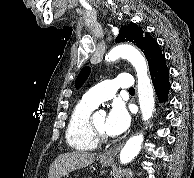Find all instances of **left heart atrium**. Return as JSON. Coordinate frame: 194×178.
I'll use <instances>...</instances> for the list:
<instances>
[{
  "mask_svg": "<svg viewBox=\"0 0 194 178\" xmlns=\"http://www.w3.org/2000/svg\"><path fill=\"white\" fill-rule=\"evenodd\" d=\"M130 121L126 108L120 103H115L106 117L104 131L110 136H118L128 129Z\"/></svg>",
  "mask_w": 194,
  "mask_h": 178,
  "instance_id": "39dd6f15",
  "label": "left heart atrium"
}]
</instances>
